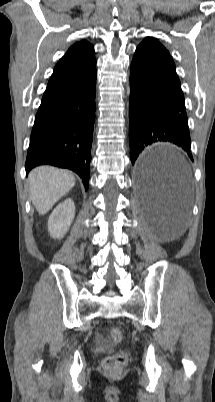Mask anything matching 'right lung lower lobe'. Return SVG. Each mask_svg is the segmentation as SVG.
I'll list each match as a JSON object with an SVG mask.
<instances>
[{"label": "right lung lower lobe", "mask_w": 215, "mask_h": 402, "mask_svg": "<svg viewBox=\"0 0 215 402\" xmlns=\"http://www.w3.org/2000/svg\"><path fill=\"white\" fill-rule=\"evenodd\" d=\"M95 94L96 74L81 86L41 102L30 137L27 173L43 164L68 168L88 189Z\"/></svg>", "instance_id": "obj_1"}]
</instances>
